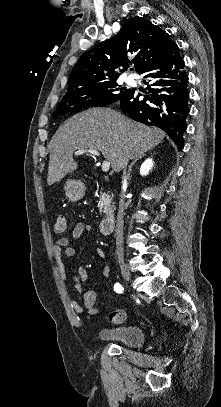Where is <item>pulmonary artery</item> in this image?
Segmentation results:
<instances>
[{
	"instance_id": "e3ab8cb5",
	"label": "pulmonary artery",
	"mask_w": 221,
	"mask_h": 407,
	"mask_svg": "<svg viewBox=\"0 0 221 407\" xmlns=\"http://www.w3.org/2000/svg\"><path fill=\"white\" fill-rule=\"evenodd\" d=\"M127 81L130 82V83L134 82V80L132 78H127Z\"/></svg>"
}]
</instances>
